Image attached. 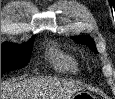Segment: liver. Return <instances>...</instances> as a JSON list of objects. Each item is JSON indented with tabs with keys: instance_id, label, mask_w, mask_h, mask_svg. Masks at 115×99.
Listing matches in <instances>:
<instances>
[{
	"instance_id": "obj_1",
	"label": "liver",
	"mask_w": 115,
	"mask_h": 99,
	"mask_svg": "<svg viewBox=\"0 0 115 99\" xmlns=\"http://www.w3.org/2000/svg\"><path fill=\"white\" fill-rule=\"evenodd\" d=\"M71 82L40 77L1 84V99H69L78 90Z\"/></svg>"
}]
</instances>
